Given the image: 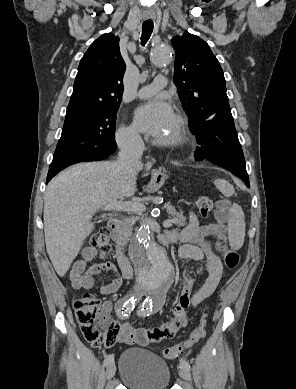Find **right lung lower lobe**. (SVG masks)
Wrapping results in <instances>:
<instances>
[{
    "label": "right lung lower lobe",
    "mask_w": 296,
    "mask_h": 389,
    "mask_svg": "<svg viewBox=\"0 0 296 389\" xmlns=\"http://www.w3.org/2000/svg\"><path fill=\"white\" fill-rule=\"evenodd\" d=\"M115 150L112 153H114ZM112 153H109L108 156L110 154H112ZM61 170H63V168H49V172H48V175H47L46 183H48Z\"/></svg>",
    "instance_id": "obj_1"
}]
</instances>
